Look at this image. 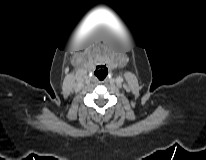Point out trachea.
Segmentation results:
<instances>
[{
    "instance_id": "trachea-1",
    "label": "trachea",
    "mask_w": 206,
    "mask_h": 160,
    "mask_svg": "<svg viewBox=\"0 0 206 160\" xmlns=\"http://www.w3.org/2000/svg\"><path fill=\"white\" fill-rule=\"evenodd\" d=\"M95 75L98 77L99 80H104L107 74L104 70H99L98 72H95Z\"/></svg>"
}]
</instances>
